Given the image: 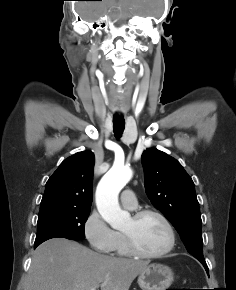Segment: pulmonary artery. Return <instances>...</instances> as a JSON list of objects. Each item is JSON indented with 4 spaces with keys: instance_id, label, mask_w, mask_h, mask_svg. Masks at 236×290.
I'll list each match as a JSON object with an SVG mask.
<instances>
[{
    "instance_id": "pulmonary-artery-1",
    "label": "pulmonary artery",
    "mask_w": 236,
    "mask_h": 290,
    "mask_svg": "<svg viewBox=\"0 0 236 290\" xmlns=\"http://www.w3.org/2000/svg\"><path fill=\"white\" fill-rule=\"evenodd\" d=\"M121 203L127 209H134L137 206L136 194L131 189H126L121 194Z\"/></svg>"
}]
</instances>
